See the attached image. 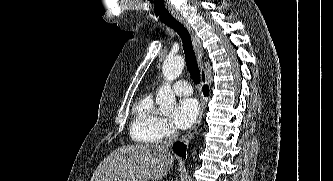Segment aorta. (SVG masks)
I'll return each mask as SVG.
<instances>
[{
	"mask_svg": "<svg viewBox=\"0 0 333 181\" xmlns=\"http://www.w3.org/2000/svg\"><path fill=\"white\" fill-rule=\"evenodd\" d=\"M184 68V59L181 56L168 57L162 65L165 85L160 87L156 95V104L159 111L163 114H169L176 105L175 94L171 91L170 83L182 73Z\"/></svg>",
	"mask_w": 333,
	"mask_h": 181,
	"instance_id": "obj_1",
	"label": "aorta"
}]
</instances>
